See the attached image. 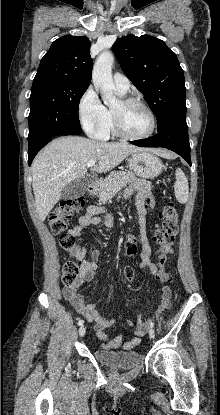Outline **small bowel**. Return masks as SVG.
Wrapping results in <instances>:
<instances>
[{"label": "small bowel", "mask_w": 220, "mask_h": 415, "mask_svg": "<svg viewBox=\"0 0 220 415\" xmlns=\"http://www.w3.org/2000/svg\"><path fill=\"white\" fill-rule=\"evenodd\" d=\"M134 192L137 193L135 206L139 224L140 267L148 268L151 273L157 277L158 268L150 258V244L147 233V209L148 206L152 204L149 183L145 180H138L127 189L125 197L130 196ZM101 212L102 208L100 206L89 205L86 212L78 217L77 224L69 230V234L78 238L86 227L100 224L102 222V219L99 217ZM113 221V216L110 215L106 217L103 222L106 226H111ZM133 242L137 243L136 237L134 235H128L125 244ZM85 254V247L80 245L77 251V258L82 260L79 278L73 285L64 288L63 296L79 315L83 316L89 322H95L97 337L106 342L104 347H123L125 350L133 349L141 343V338L147 333L149 322L143 320L142 317L130 320L128 324L135 327L134 336L125 342L122 336H110L106 333V330L115 324V320L105 318L99 312L96 305L85 301L84 295L81 292V288L84 284L95 280L97 277L101 252L99 250L91 251L89 260H84Z\"/></svg>", "instance_id": "c3829d8e"}]
</instances>
